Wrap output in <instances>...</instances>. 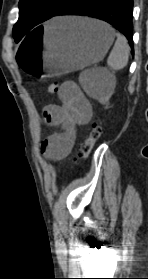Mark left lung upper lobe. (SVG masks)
I'll list each match as a JSON object with an SVG mask.
<instances>
[{
    "instance_id": "1",
    "label": "left lung upper lobe",
    "mask_w": 148,
    "mask_h": 279,
    "mask_svg": "<svg viewBox=\"0 0 148 279\" xmlns=\"http://www.w3.org/2000/svg\"><path fill=\"white\" fill-rule=\"evenodd\" d=\"M69 0H20L19 19L13 28L18 42L38 24L53 17Z\"/></svg>"
}]
</instances>
